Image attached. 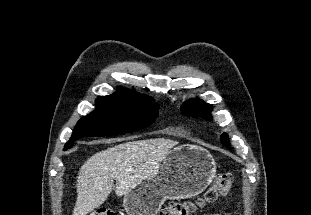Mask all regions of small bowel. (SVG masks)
<instances>
[{
	"label": "small bowel",
	"instance_id": "c3829d8e",
	"mask_svg": "<svg viewBox=\"0 0 311 215\" xmlns=\"http://www.w3.org/2000/svg\"><path fill=\"white\" fill-rule=\"evenodd\" d=\"M204 215H221V214L214 213V214H204Z\"/></svg>",
	"mask_w": 311,
	"mask_h": 215
}]
</instances>
